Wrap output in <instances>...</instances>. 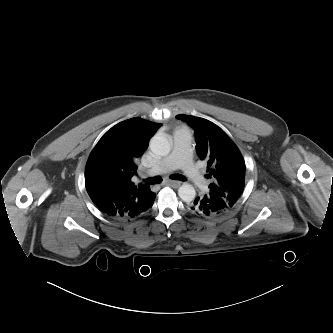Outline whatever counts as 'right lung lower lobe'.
Here are the masks:
<instances>
[{"mask_svg": "<svg viewBox=\"0 0 333 333\" xmlns=\"http://www.w3.org/2000/svg\"><path fill=\"white\" fill-rule=\"evenodd\" d=\"M155 197L156 194L151 191L150 194L148 195L147 206L140 207L137 209L135 207L127 208L123 204L113 201L99 202L96 203V205L107 216L114 217L120 220H127L135 218L140 214L146 212L153 205Z\"/></svg>", "mask_w": 333, "mask_h": 333, "instance_id": "1", "label": "right lung lower lobe"}]
</instances>
